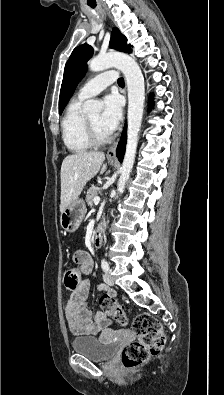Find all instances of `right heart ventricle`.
<instances>
[{"mask_svg":"<svg viewBox=\"0 0 224 395\" xmlns=\"http://www.w3.org/2000/svg\"><path fill=\"white\" fill-rule=\"evenodd\" d=\"M83 102L84 99L79 97L73 99L62 120L63 141L74 153L84 152L92 146L86 131V116L82 112Z\"/></svg>","mask_w":224,"mask_h":395,"instance_id":"1","label":"right heart ventricle"}]
</instances>
